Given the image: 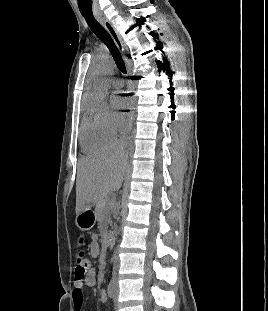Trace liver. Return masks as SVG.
I'll use <instances>...</instances> for the list:
<instances>
[{
	"label": "liver",
	"instance_id": "obj_1",
	"mask_svg": "<svg viewBox=\"0 0 268 311\" xmlns=\"http://www.w3.org/2000/svg\"><path fill=\"white\" fill-rule=\"evenodd\" d=\"M126 168V156L119 146L82 158L76 179V214L119 190Z\"/></svg>",
	"mask_w": 268,
	"mask_h": 311
}]
</instances>
